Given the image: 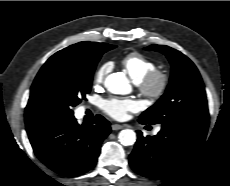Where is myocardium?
<instances>
[{
    "label": "myocardium",
    "mask_w": 230,
    "mask_h": 186,
    "mask_svg": "<svg viewBox=\"0 0 230 186\" xmlns=\"http://www.w3.org/2000/svg\"><path fill=\"white\" fill-rule=\"evenodd\" d=\"M169 82V75L165 71L153 70L146 74L138 85L146 99L156 101L166 93Z\"/></svg>",
    "instance_id": "1"
}]
</instances>
